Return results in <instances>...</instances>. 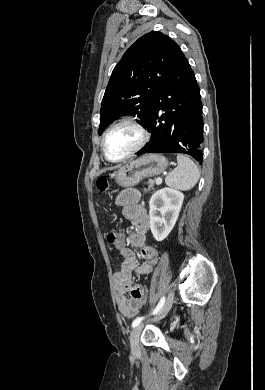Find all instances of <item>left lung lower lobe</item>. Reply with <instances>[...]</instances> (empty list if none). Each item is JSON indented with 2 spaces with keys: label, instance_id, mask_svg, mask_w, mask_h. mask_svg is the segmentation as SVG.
Wrapping results in <instances>:
<instances>
[{
  "label": "left lung lower lobe",
  "instance_id": "1",
  "mask_svg": "<svg viewBox=\"0 0 265 390\" xmlns=\"http://www.w3.org/2000/svg\"><path fill=\"white\" fill-rule=\"evenodd\" d=\"M146 128L151 139L136 154L183 153L202 163L200 90L184 54L157 92Z\"/></svg>",
  "mask_w": 265,
  "mask_h": 390
}]
</instances>
